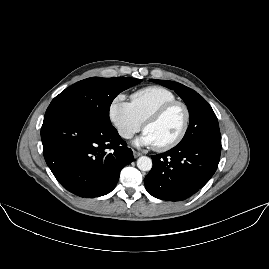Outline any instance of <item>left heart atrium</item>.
<instances>
[{
	"mask_svg": "<svg viewBox=\"0 0 269 269\" xmlns=\"http://www.w3.org/2000/svg\"><path fill=\"white\" fill-rule=\"evenodd\" d=\"M136 145H147V146H154L153 141L151 140L150 136L147 133H144L141 137H139L135 141Z\"/></svg>",
	"mask_w": 269,
	"mask_h": 269,
	"instance_id": "39dd6f15",
	"label": "left heart atrium"
}]
</instances>
